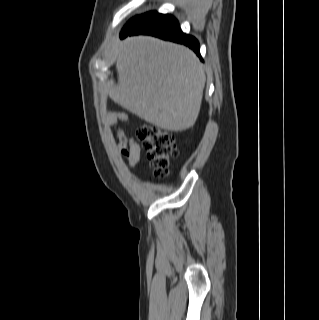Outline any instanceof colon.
Listing matches in <instances>:
<instances>
[{
  "mask_svg": "<svg viewBox=\"0 0 319 320\" xmlns=\"http://www.w3.org/2000/svg\"><path fill=\"white\" fill-rule=\"evenodd\" d=\"M136 136L152 164L155 175H167L170 161L177 153L174 136L150 124L140 125L136 130Z\"/></svg>",
  "mask_w": 319,
  "mask_h": 320,
  "instance_id": "5ec220e1",
  "label": "colon"
}]
</instances>
